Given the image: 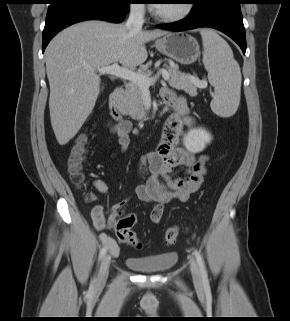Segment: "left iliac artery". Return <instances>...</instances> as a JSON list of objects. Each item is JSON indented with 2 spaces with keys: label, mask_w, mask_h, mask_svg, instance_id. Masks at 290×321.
Wrapping results in <instances>:
<instances>
[{
  "label": "left iliac artery",
  "mask_w": 290,
  "mask_h": 321,
  "mask_svg": "<svg viewBox=\"0 0 290 321\" xmlns=\"http://www.w3.org/2000/svg\"><path fill=\"white\" fill-rule=\"evenodd\" d=\"M194 254H195L197 263L199 265V269H200V273H201V277H202V282H203L204 286H209L208 275H207L206 267L204 264V260L198 250L195 249Z\"/></svg>",
  "instance_id": "44dca946"
}]
</instances>
